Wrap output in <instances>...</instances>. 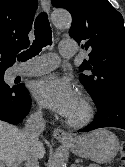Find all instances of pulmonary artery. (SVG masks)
<instances>
[{
    "label": "pulmonary artery",
    "instance_id": "e3ab8cb5",
    "mask_svg": "<svg viewBox=\"0 0 125 167\" xmlns=\"http://www.w3.org/2000/svg\"><path fill=\"white\" fill-rule=\"evenodd\" d=\"M60 54L65 58L73 57L76 51V44L73 40L60 41ZM59 63V58L54 53H47L35 58L32 64L15 71V75L39 76L54 70Z\"/></svg>",
    "mask_w": 125,
    "mask_h": 167
}]
</instances>
